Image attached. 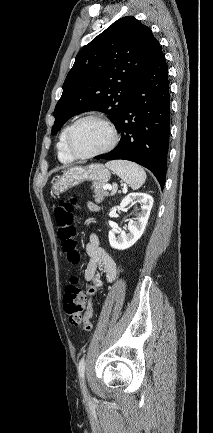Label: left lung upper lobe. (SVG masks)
I'll return each mask as SVG.
<instances>
[{
    "mask_svg": "<svg viewBox=\"0 0 213 433\" xmlns=\"http://www.w3.org/2000/svg\"><path fill=\"white\" fill-rule=\"evenodd\" d=\"M160 48L151 29L133 16L115 21L77 54L54 110L51 133L87 111L110 115L117 128L133 90Z\"/></svg>",
    "mask_w": 213,
    "mask_h": 433,
    "instance_id": "left-lung-upper-lobe-1",
    "label": "left lung upper lobe"
}]
</instances>
